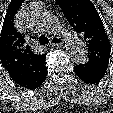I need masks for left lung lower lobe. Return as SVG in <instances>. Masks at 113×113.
<instances>
[{
	"instance_id": "1",
	"label": "left lung lower lobe",
	"mask_w": 113,
	"mask_h": 113,
	"mask_svg": "<svg viewBox=\"0 0 113 113\" xmlns=\"http://www.w3.org/2000/svg\"><path fill=\"white\" fill-rule=\"evenodd\" d=\"M106 70L107 67L89 61L74 67L76 75L88 84L99 82L104 77Z\"/></svg>"
}]
</instances>
